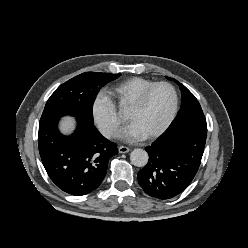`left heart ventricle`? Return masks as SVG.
I'll list each match as a JSON object with an SVG mask.
<instances>
[{"label": "left heart ventricle", "instance_id": "obj_1", "mask_svg": "<svg viewBox=\"0 0 248 248\" xmlns=\"http://www.w3.org/2000/svg\"><path fill=\"white\" fill-rule=\"evenodd\" d=\"M172 105V91L166 86H159L150 93L141 110L127 112L126 117L144 136H148L164 124L170 115Z\"/></svg>", "mask_w": 248, "mask_h": 248}]
</instances>
